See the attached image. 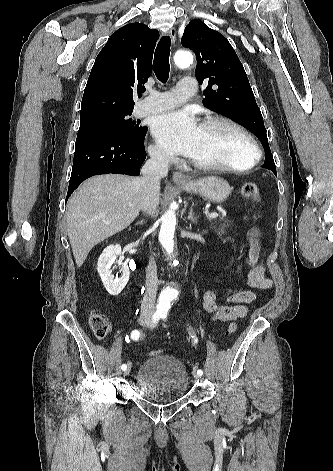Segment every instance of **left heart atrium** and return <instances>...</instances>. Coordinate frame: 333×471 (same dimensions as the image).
Segmentation results:
<instances>
[{"mask_svg": "<svg viewBox=\"0 0 333 471\" xmlns=\"http://www.w3.org/2000/svg\"><path fill=\"white\" fill-rule=\"evenodd\" d=\"M199 125L188 110L173 111L156 118L153 134L167 150L191 156L198 137Z\"/></svg>", "mask_w": 333, "mask_h": 471, "instance_id": "obj_1", "label": "left heart atrium"}]
</instances>
